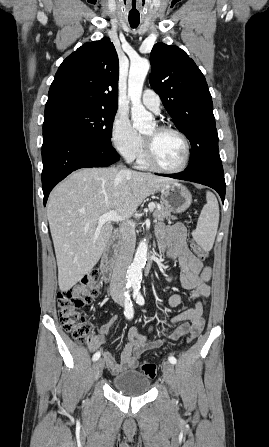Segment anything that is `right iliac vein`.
Wrapping results in <instances>:
<instances>
[{"label":"right iliac vein","instance_id":"63e3f726","mask_svg":"<svg viewBox=\"0 0 269 447\" xmlns=\"http://www.w3.org/2000/svg\"><path fill=\"white\" fill-rule=\"evenodd\" d=\"M120 304L123 305V302H120ZM103 367H104V360L103 359H100V360L95 362V364L93 366V369H92V374L94 376V379H98L99 378V376H100V374L102 372Z\"/></svg>","mask_w":269,"mask_h":447}]
</instances>
